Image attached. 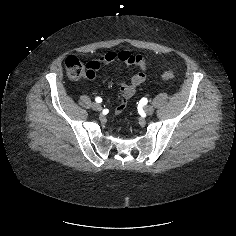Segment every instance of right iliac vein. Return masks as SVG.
I'll use <instances>...</instances> for the list:
<instances>
[{
    "instance_id": "63e3f726",
    "label": "right iliac vein",
    "mask_w": 236,
    "mask_h": 236,
    "mask_svg": "<svg viewBox=\"0 0 236 236\" xmlns=\"http://www.w3.org/2000/svg\"><path fill=\"white\" fill-rule=\"evenodd\" d=\"M92 108L95 110V111H101L102 110V106H101V104H99V103H94L93 105H92Z\"/></svg>"
}]
</instances>
